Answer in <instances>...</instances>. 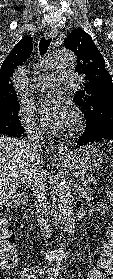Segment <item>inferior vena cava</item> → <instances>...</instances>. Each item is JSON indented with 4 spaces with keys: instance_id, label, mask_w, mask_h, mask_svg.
Wrapping results in <instances>:
<instances>
[{
    "instance_id": "obj_1",
    "label": "inferior vena cava",
    "mask_w": 113,
    "mask_h": 279,
    "mask_svg": "<svg viewBox=\"0 0 113 279\" xmlns=\"http://www.w3.org/2000/svg\"><path fill=\"white\" fill-rule=\"evenodd\" d=\"M28 148L36 155L43 145V136L41 131L32 126L28 130ZM33 195L35 197L36 212L38 214V224L44 235L45 240L51 237V228L49 224L50 205L46 192V176L42 171H38L32 184Z\"/></svg>"
}]
</instances>
